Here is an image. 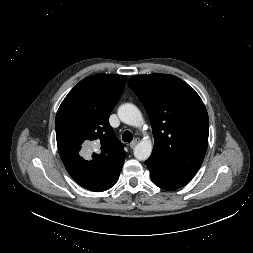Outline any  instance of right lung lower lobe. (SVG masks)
<instances>
[{
	"label": "right lung lower lobe",
	"mask_w": 253,
	"mask_h": 253,
	"mask_svg": "<svg viewBox=\"0 0 253 253\" xmlns=\"http://www.w3.org/2000/svg\"><path fill=\"white\" fill-rule=\"evenodd\" d=\"M119 175H120V172H119V173L113 178V180H112L104 189H102L100 192L110 189V188L117 182V180H118V178H119Z\"/></svg>",
	"instance_id": "98d812e1"
}]
</instances>
